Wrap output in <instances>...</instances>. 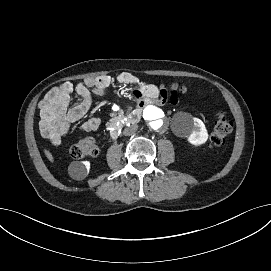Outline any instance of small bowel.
Masks as SVG:
<instances>
[{
    "label": "small bowel",
    "instance_id": "1",
    "mask_svg": "<svg viewBox=\"0 0 271 271\" xmlns=\"http://www.w3.org/2000/svg\"><path fill=\"white\" fill-rule=\"evenodd\" d=\"M116 82L119 85L133 86L132 95L140 106L154 103L177 104L179 100L178 97L170 95L166 89L144 82L129 72L119 74ZM112 84L110 76L102 75L85 78L75 85L64 82L51 89L39 103L40 129L43 137L55 146L60 145L70 126L86 115L93 96L105 95ZM73 93L77 94L79 100L74 106L69 107ZM99 125V118L93 117L85 121L80 129L86 132L94 131Z\"/></svg>",
    "mask_w": 271,
    "mask_h": 271
}]
</instances>
